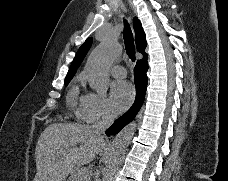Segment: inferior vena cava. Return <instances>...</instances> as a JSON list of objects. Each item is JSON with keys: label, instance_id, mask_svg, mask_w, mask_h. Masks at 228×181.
Returning <instances> with one entry per match:
<instances>
[{"label": "inferior vena cava", "instance_id": "inferior-vena-cava-1", "mask_svg": "<svg viewBox=\"0 0 228 181\" xmlns=\"http://www.w3.org/2000/svg\"><path fill=\"white\" fill-rule=\"evenodd\" d=\"M114 119L115 115H113V113H109V111L103 113L102 121H98V123H94V125H92L94 133H98V135H103L106 129H109V127L113 125Z\"/></svg>", "mask_w": 228, "mask_h": 181}]
</instances>
